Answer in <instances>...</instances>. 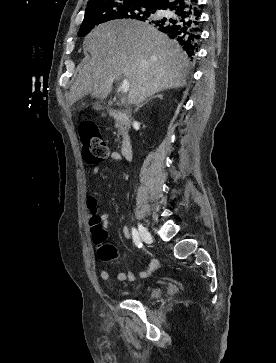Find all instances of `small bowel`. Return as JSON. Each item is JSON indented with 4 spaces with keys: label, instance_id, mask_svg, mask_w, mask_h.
Masks as SVG:
<instances>
[{
    "label": "small bowel",
    "instance_id": "1",
    "mask_svg": "<svg viewBox=\"0 0 276 363\" xmlns=\"http://www.w3.org/2000/svg\"><path fill=\"white\" fill-rule=\"evenodd\" d=\"M112 158H116L117 155L115 153L111 154ZM93 175H98L100 172V169L98 167H93L91 170ZM96 205V198L95 197H91L88 203L89 208H94ZM99 218H100V224L102 227L106 228L109 225V215L107 213H100L99 214ZM122 231L124 233V236L126 238L130 237V233L128 231V229L126 227L122 228ZM159 267V262L156 258H152L150 260L149 266L147 269L145 270H141L138 273H135L133 271H129V272H118L115 275V279L117 281L120 282H124V281H130L133 282L135 281L137 278H146L148 277L151 273H153L154 271H156ZM100 278L104 281H107L110 279V272L107 269H103L100 271Z\"/></svg>",
    "mask_w": 276,
    "mask_h": 363
}]
</instances>
